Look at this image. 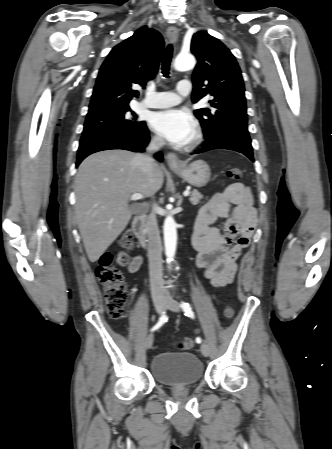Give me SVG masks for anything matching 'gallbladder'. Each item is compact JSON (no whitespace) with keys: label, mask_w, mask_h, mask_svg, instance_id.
<instances>
[{"label":"gallbladder","mask_w":332,"mask_h":449,"mask_svg":"<svg viewBox=\"0 0 332 449\" xmlns=\"http://www.w3.org/2000/svg\"><path fill=\"white\" fill-rule=\"evenodd\" d=\"M132 211H133L134 213H137V212H138L137 206H132Z\"/></svg>","instance_id":"obj_1"}]
</instances>
